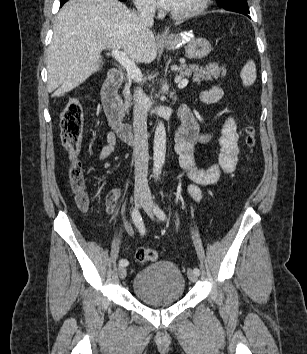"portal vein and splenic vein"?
Masks as SVG:
<instances>
[{"label":"portal vein and splenic vein","instance_id":"obj_1","mask_svg":"<svg viewBox=\"0 0 307 354\" xmlns=\"http://www.w3.org/2000/svg\"><path fill=\"white\" fill-rule=\"evenodd\" d=\"M111 56L126 69L127 74L131 79L137 82H141L143 80L140 70L136 67L135 63L129 59L124 51L112 50ZM175 81L178 83V88L181 89L186 87L188 84V79H180L176 77Z\"/></svg>","mask_w":307,"mask_h":354}]
</instances>
